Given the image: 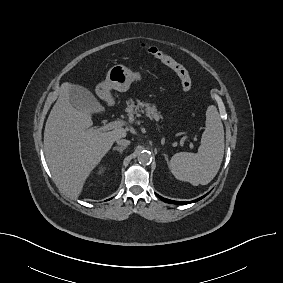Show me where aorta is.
Wrapping results in <instances>:
<instances>
[{
  "mask_svg": "<svg viewBox=\"0 0 283 283\" xmlns=\"http://www.w3.org/2000/svg\"><path fill=\"white\" fill-rule=\"evenodd\" d=\"M137 159L141 165H148L152 161V156L149 151H142L138 154Z\"/></svg>",
  "mask_w": 283,
  "mask_h": 283,
  "instance_id": "aorta-1",
  "label": "aorta"
}]
</instances>
